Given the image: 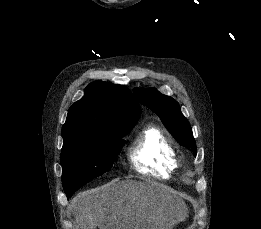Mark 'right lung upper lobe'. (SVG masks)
Here are the masks:
<instances>
[{"instance_id":"right-lung-upper-lobe-1","label":"right lung upper lobe","mask_w":261,"mask_h":229,"mask_svg":"<svg viewBox=\"0 0 261 229\" xmlns=\"http://www.w3.org/2000/svg\"><path fill=\"white\" fill-rule=\"evenodd\" d=\"M139 117V104L128 88L95 81L86 87L84 97L69 108L62 127L63 146L103 137L102 129L135 124Z\"/></svg>"}]
</instances>
